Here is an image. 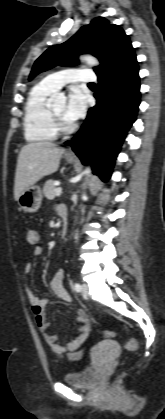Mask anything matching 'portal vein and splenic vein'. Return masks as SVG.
<instances>
[{"mask_svg":"<svg viewBox=\"0 0 165 419\" xmlns=\"http://www.w3.org/2000/svg\"><path fill=\"white\" fill-rule=\"evenodd\" d=\"M55 193L56 195H60L62 193V188H56Z\"/></svg>","mask_w":165,"mask_h":419,"instance_id":"1","label":"portal vein and splenic vein"}]
</instances>
